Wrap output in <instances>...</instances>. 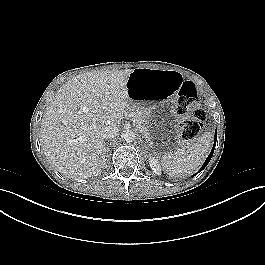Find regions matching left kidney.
<instances>
[{
    "label": "left kidney",
    "instance_id": "left-kidney-1",
    "mask_svg": "<svg viewBox=\"0 0 265 265\" xmlns=\"http://www.w3.org/2000/svg\"><path fill=\"white\" fill-rule=\"evenodd\" d=\"M149 164H150L151 169H152L155 173H157V174L160 173L161 168H160V164H159V162H158V159H157L156 157H150V158H149Z\"/></svg>",
    "mask_w": 265,
    "mask_h": 265
}]
</instances>
